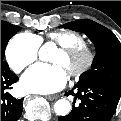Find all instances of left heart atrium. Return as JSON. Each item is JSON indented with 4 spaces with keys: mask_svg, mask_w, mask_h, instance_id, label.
Here are the masks:
<instances>
[{
    "mask_svg": "<svg viewBox=\"0 0 121 121\" xmlns=\"http://www.w3.org/2000/svg\"><path fill=\"white\" fill-rule=\"evenodd\" d=\"M67 81L66 71L59 65L36 64L22 78L27 92L53 93L61 90Z\"/></svg>",
    "mask_w": 121,
    "mask_h": 121,
    "instance_id": "1",
    "label": "left heart atrium"
}]
</instances>
